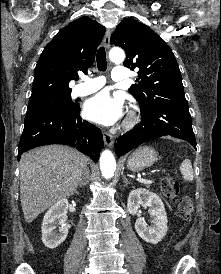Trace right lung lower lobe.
<instances>
[{
  "mask_svg": "<svg viewBox=\"0 0 221 274\" xmlns=\"http://www.w3.org/2000/svg\"><path fill=\"white\" fill-rule=\"evenodd\" d=\"M19 143L18 160L21 154L35 147L48 144H64L98 161L104 147L99 128L82 120L80 107L56 108L26 115Z\"/></svg>",
  "mask_w": 221,
  "mask_h": 274,
  "instance_id": "98d812e1",
  "label": "right lung lower lobe"
}]
</instances>
